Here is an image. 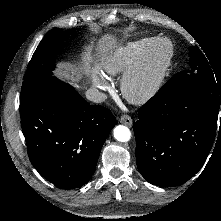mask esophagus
I'll return each instance as SVG.
<instances>
[{
  "label": "esophagus",
  "mask_w": 221,
  "mask_h": 221,
  "mask_svg": "<svg viewBox=\"0 0 221 221\" xmlns=\"http://www.w3.org/2000/svg\"><path fill=\"white\" fill-rule=\"evenodd\" d=\"M119 121H120V123L125 124L129 127L132 126V123H133L132 118L129 115L121 116Z\"/></svg>",
  "instance_id": "34e87169"
}]
</instances>
